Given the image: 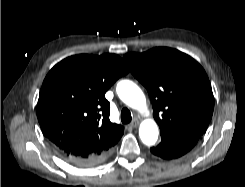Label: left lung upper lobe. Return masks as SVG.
I'll use <instances>...</instances> for the list:
<instances>
[{
    "instance_id": "obj_1",
    "label": "left lung upper lobe",
    "mask_w": 245,
    "mask_h": 187,
    "mask_svg": "<svg viewBox=\"0 0 245 187\" xmlns=\"http://www.w3.org/2000/svg\"><path fill=\"white\" fill-rule=\"evenodd\" d=\"M124 60L150 95L161 135L204 134L214 98L207 74L197 61L167 47L127 54Z\"/></svg>"
}]
</instances>
